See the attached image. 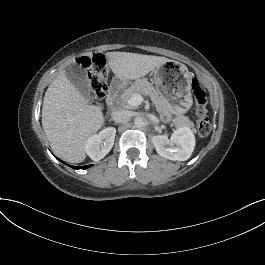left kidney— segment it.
<instances>
[{"label": "left kidney", "instance_id": "obj_1", "mask_svg": "<svg viewBox=\"0 0 265 265\" xmlns=\"http://www.w3.org/2000/svg\"><path fill=\"white\" fill-rule=\"evenodd\" d=\"M152 143L159 156L170 161H186L194 148V136L189 128L179 127L170 139L154 136Z\"/></svg>", "mask_w": 265, "mask_h": 265}]
</instances>
